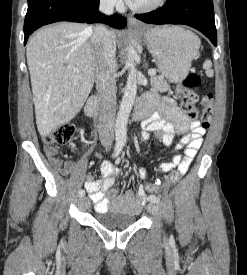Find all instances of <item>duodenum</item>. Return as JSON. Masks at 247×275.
<instances>
[{"instance_id":"1","label":"duodenum","mask_w":247,"mask_h":275,"mask_svg":"<svg viewBox=\"0 0 247 275\" xmlns=\"http://www.w3.org/2000/svg\"><path fill=\"white\" fill-rule=\"evenodd\" d=\"M100 110L99 100L96 95L91 96L85 105V112L89 116H98ZM148 108L143 103H138L134 109L133 120L139 121L146 116Z\"/></svg>"}]
</instances>
